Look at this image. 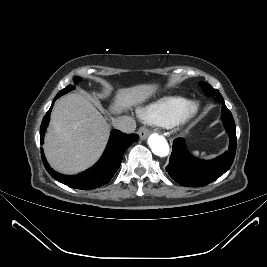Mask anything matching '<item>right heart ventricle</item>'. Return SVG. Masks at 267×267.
I'll use <instances>...</instances> for the list:
<instances>
[{
    "label": "right heart ventricle",
    "instance_id": "1",
    "mask_svg": "<svg viewBox=\"0 0 267 267\" xmlns=\"http://www.w3.org/2000/svg\"><path fill=\"white\" fill-rule=\"evenodd\" d=\"M188 100L180 96L162 98L139 110L140 116L153 124L170 126L179 116Z\"/></svg>",
    "mask_w": 267,
    "mask_h": 267
}]
</instances>
